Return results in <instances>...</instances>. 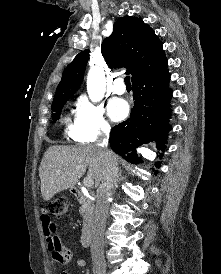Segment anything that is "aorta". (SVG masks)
<instances>
[{
	"label": "aorta",
	"instance_id": "aorta-1",
	"mask_svg": "<svg viewBox=\"0 0 221 274\" xmlns=\"http://www.w3.org/2000/svg\"><path fill=\"white\" fill-rule=\"evenodd\" d=\"M87 92L93 102L100 101L105 93V76L101 69L91 68L87 75Z\"/></svg>",
	"mask_w": 221,
	"mask_h": 274
}]
</instances>
